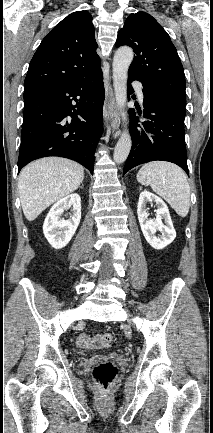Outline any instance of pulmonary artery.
<instances>
[{"mask_svg": "<svg viewBox=\"0 0 213 433\" xmlns=\"http://www.w3.org/2000/svg\"><path fill=\"white\" fill-rule=\"evenodd\" d=\"M133 85H134V87L136 89V92H137L139 100L143 101L144 95H143V87H142L141 83L134 82Z\"/></svg>", "mask_w": 213, "mask_h": 433, "instance_id": "obj_1", "label": "pulmonary artery"}]
</instances>
